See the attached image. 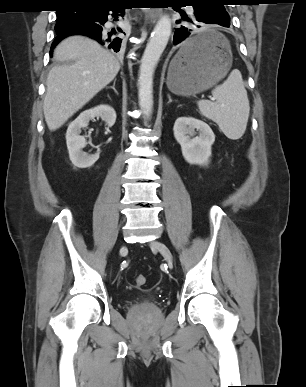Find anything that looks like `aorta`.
Returning a JSON list of instances; mask_svg holds the SVG:
<instances>
[{"label": "aorta", "mask_w": 306, "mask_h": 387, "mask_svg": "<svg viewBox=\"0 0 306 387\" xmlns=\"http://www.w3.org/2000/svg\"><path fill=\"white\" fill-rule=\"evenodd\" d=\"M172 31L171 19L163 15L151 33L143 53L138 79L139 106L145 118L153 109V75L160 57L165 50Z\"/></svg>", "instance_id": "aorta-1"}]
</instances>
